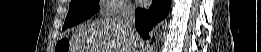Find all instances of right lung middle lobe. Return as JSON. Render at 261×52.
Returning <instances> with one entry per match:
<instances>
[{"label":"right lung middle lobe","instance_id":"dd1d6c3e","mask_svg":"<svg viewBox=\"0 0 261 52\" xmlns=\"http://www.w3.org/2000/svg\"><path fill=\"white\" fill-rule=\"evenodd\" d=\"M99 11V1L95 0H71L69 12L62 31L74 26Z\"/></svg>","mask_w":261,"mask_h":52}]
</instances>
